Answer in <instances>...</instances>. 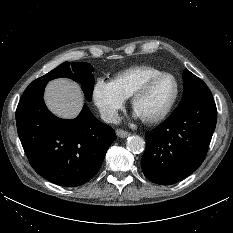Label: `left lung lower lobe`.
<instances>
[{
	"label": "left lung lower lobe",
	"instance_id": "1",
	"mask_svg": "<svg viewBox=\"0 0 233 233\" xmlns=\"http://www.w3.org/2000/svg\"><path fill=\"white\" fill-rule=\"evenodd\" d=\"M213 97L198 99L174 110L156 129L147 132L142 170L152 182L170 185L202 164L215 130Z\"/></svg>",
	"mask_w": 233,
	"mask_h": 233
}]
</instances>
